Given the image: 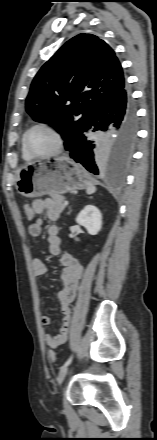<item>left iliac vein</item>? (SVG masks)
<instances>
[{"label":"left iliac vein","mask_w":157,"mask_h":440,"mask_svg":"<svg viewBox=\"0 0 157 440\" xmlns=\"http://www.w3.org/2000/svg\"><path fill=\"white\" fill-rule=\"evenodd\" d=\"M67 372H68V367H61L57 378L58 384H61L63 382Z\"/></svg>","instance_id":"left-iliac-vein-1"}]
</instances>
